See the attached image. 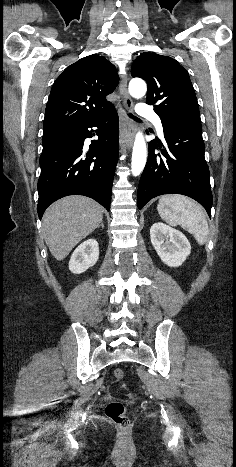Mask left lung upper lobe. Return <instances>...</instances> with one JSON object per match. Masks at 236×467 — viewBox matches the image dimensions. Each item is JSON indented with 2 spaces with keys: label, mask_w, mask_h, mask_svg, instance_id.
Listing matches in <instances>:
<instances>
[{
  "label": "left lung upper lobe",
  "mask_w": 236,
  "mask_h": 467,
  "mask_svg": "<svg viewBox=\"0 0 236 467\" xmlns=\"http://www.w3.org/2000/svg\"><path fill=\"white\" fill-rule=\"evenodd\" d=\"M133 77L147 82L146 103L162 122L198 121L199 106L188 72L174 59L155 53H143L133 62Z\"/></svg>",
  "instance_id": "left-lung-upper-lobe-1"
}]
</instances>
